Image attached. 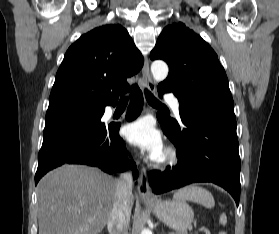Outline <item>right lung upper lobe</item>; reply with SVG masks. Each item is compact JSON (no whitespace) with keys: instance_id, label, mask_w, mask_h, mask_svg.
I'll return each mask as SVG.
<instances>
[{"instance_id":"1","label":"right lung upper lobe","mask_w":279,"mask_h":234,"mask_svg":"<svg viewBox=\"0 0 279 234\" xmlns=\"http://www.w3.org/2000/svg\"><path fill=\"white\" fill-rule=\"evenodd\" d=\"M144 63L140 51L119 24L97 27L67 50L51 90L49 107L105 108L128 88L127 77Z\"/></svg>"}]
</instances>
